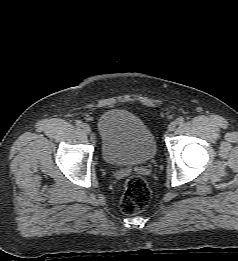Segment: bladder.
<instances>
[{"label":"bladder","mask_w":238,"mask_h":261,"mask_svg":"<svg viewBox=\"0 0 238 261\" xmlns=\"http://www.w3.org/2000/svg\"><path fill=\"white\" fill-rule=\"evenodd\" d=\"M101 154L106 163L132 166L153 159L156 140L135 114L119 109L105 112L98 120Z\"/></svg>","instance_id":"31cf9c89"}]
</instances>
